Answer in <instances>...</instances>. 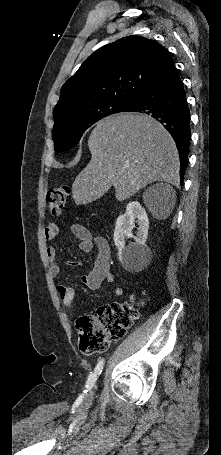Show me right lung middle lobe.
Listing matches in <instances>:
<instances>
[{"label": "right lung middle lobe", "mask_w": 221, "mask_h": 455, "mask_svg": "<svg viewBox=\"0 0 221 455\" xmlns=\"http://www.w3.org/2000/svg\"><path fill=\"white\" fill-rule=\"evenodd\" d=\"M131 103L122 100L103 101L72 115L58 118L52 131L55 151L59 153L73 148L91 125L106 116L123 112Z\"/></svg>", "instance_id": "dd1d6c3e"}]
</instances>
